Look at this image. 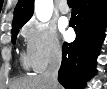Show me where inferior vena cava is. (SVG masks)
<instances>
[{"mask_svg": "<svg viewBox=\"0 0 107 89\" xmlns=\"http://www.w3.org/2000/svg\"><path fill=\"white\" fill-rule=\"evenodd\" d=\"M62 53L59 48L52 58L47 70L43 73L44 77L49 81L51 89H58V70L61 66Z\"/></svg>", "mask_w": 107, "mask_h": 89, "instance_id": "inferior-vena-cava-1", "label": "inferior vena cava"}]
</instances>
